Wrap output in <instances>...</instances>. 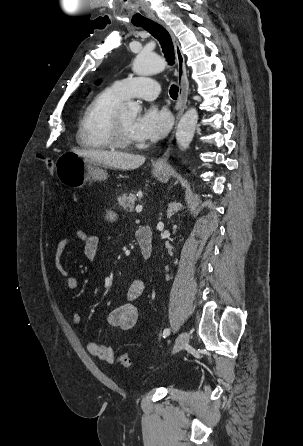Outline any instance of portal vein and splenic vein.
I'll return each mask as SVG.
<instances>
[{
    "instance_id": "18ae733b",
    "label": "portal vein and splenic vein",
    "mask_w": 303,
    "mask_h": 446,
    "mask_svg": "<svg viewBox=\"0 0 303 446\" xmlns=\"http://www.w3.org/2000/svg\"><path fill=\"white\" fill-rule=\"evenodd\" d=\"M135 210H136L137 213H140L143 210V206L141 204H139V205L136 206Z\"/></svg>"
}]
</instances>
